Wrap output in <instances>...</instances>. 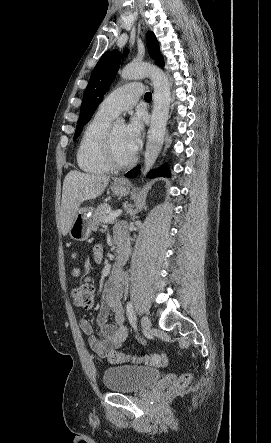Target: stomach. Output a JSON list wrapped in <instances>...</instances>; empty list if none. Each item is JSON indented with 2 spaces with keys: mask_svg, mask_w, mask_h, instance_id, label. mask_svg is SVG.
<instances>
[{
  "mask_svg": "<svg viewBox=\"0 0 271 443\" xmlns=\"http://www.w3.org/2000/svg\"><path fill=\"white\" fill-rule=\"evenodd\" d=\"M111 192L114 196H128L130 190L127 188V182H122V180H114V184L111 186ZM92 216L91 210L89 208H84V210H79L77 212L71 227L69 229V235L72 239H77V241H85L91 235V229L93 227L90 218Z\"/></svg>",
  "mask_w": 271,
  "mask_h": 443,
  "instance_id": "1",
  "label": "stomach"
}]
</instances>
